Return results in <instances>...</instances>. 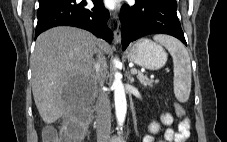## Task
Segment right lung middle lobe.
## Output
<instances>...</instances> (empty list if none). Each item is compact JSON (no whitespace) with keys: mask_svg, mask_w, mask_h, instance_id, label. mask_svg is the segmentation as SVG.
Returning a JSON list of instances; mask_svg holds the SVG:
<instances>
[{"mask_svg":"<svg viewBox=\"0 0 227 142\" xmlns=\"http://www.w3.org/2000/svg\"><path fill=\"white\" fill-rule=\"evenodd\" d=\"M49 1H52V0H39V4H43V3L49 2Z\"/></svg>","mask_w":227,"mask_h":142,"instance_id":"obj_1","label":"right lung middle lobe"}]
</instances>
